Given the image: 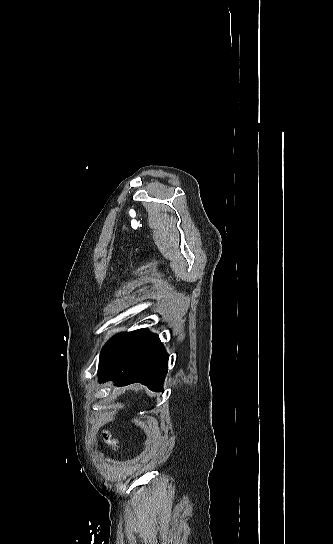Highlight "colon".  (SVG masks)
I'll use <instances>...</instances> for the list:
<instances>
[{"mask_svg":"<svg viewBox=\"0 0 333 544\" xmlns=\"http://www.w3.org/2000/svg\"><path fill=\"white\" fill-rule=\"evenodd\" d=\"M105 439L108 440L109 444L112 445V446H115L114 442L111 441L109 438H107V436L105 435Z\"/></svg>","mask_w":333,"mask_h":544,"instance_id":"obj_1","label":"colon"}]
</instances>
